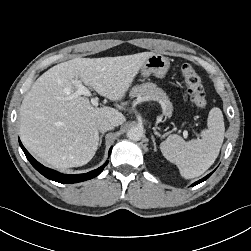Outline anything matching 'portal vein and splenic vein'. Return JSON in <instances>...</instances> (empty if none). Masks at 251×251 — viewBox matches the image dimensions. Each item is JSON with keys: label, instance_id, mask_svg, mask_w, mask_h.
<instances>
[{"label": "portal vein and splenic vein", "instance_id": "obj_1", "mask_svg": "<svg viewBox=\"0 0 251 251\" xmlns=\"http://www.w3.org/2000/svg\"><path fill=\"white\" fill-rule=\"evenodd\" d=\"M73 83L77 87V91L74 93L73 96L77 97V96H80V95H84V96L91 97V103H92V105L95 106V107L98 106V99L95 98V97H92V94L88 90L87 87H85L84 85H82V83L78 79H74ZM183 135H184L185 138H187V136H188L187 131H184Z\"/></svg>", "mask_w": 251, "mask_h": 251}]
</instances>
